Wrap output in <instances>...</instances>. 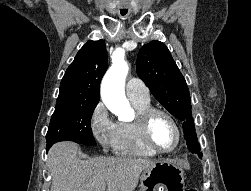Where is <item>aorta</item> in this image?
I'll return each instance as SVG.
<instances>
[{"label": "aorta", "instance_id": "1", "mask_svg": "<svg viewBox=\"0 0 251 191\" xmlns=\"http://www.w3.org/2000/svg\"><path fill=\"white\" fill-rule=\"evenodd\" d=\"M129 66L122 54H114L112 66L106 72L101 84V97L108 109L121 121H130L131 105L125 96V80Z\"/></svg>", "mask_w": 251, "mask_h": 191}]
</instances>
